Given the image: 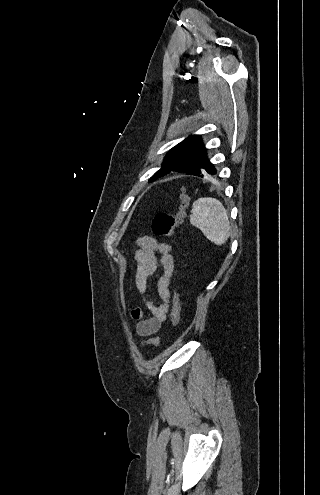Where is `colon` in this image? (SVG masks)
Segmentation results:
<instances>
[{
  "instance_id": "5ec220e1",
  "label": "colon",
  "mask_w": 320,
  "mask_h": 495,
  "mask_svg": "<svg viewBox=\"0 0 320 495\" xmlns=\"http://www.w3.org/2000/svg\"><path fill=\"white\" fill-rule=\"evenodd\" d=\"M188 194L184 188L181 190L180 202L178 208L173 213L159 212L155 215L152 222V230L158 236L173 237L175 229L181 224L186 208L188 206ZM181 304L177 289L174 291L172 301L171 320L172 325L176 328L180 322Z\"/></svg>"
}]
</instances>
